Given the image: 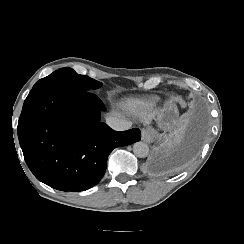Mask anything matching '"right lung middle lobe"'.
<instances>
[{
	"label": "right lung middle lobe",
	"instance_id": "dd1d6c3e",
	"mask_svg": "<svg viewBox=\"0 0 244 244\" xmlns=\"http://www.w3.org/2000/svg\"><path fill=\"white\" fill-rule=\"evenodd\" d=\"M102 83L86 75H79L71 68H61L49 76L40 79L33 89L41 87H70L83 91H92L101 87Z\"/></svg>",
	"mask_w": 244,
	"mask_h": 244
}]
</instances>
